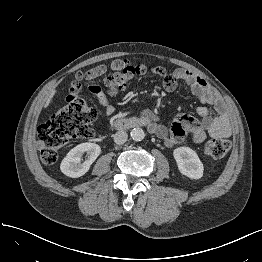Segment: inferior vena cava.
<instances>
[{
	"mask_svg": "<svg viewBox=\"0 0 262 262\" xmlns=\"http://www.w3.org/2000/svg\"><path fill=\"white\" fill-rule=\"evenodd\" d=\"M128 135L124 131H118L114 135V142L118 145L124 144L127 141Z\"/></svg>",
	"mask_w": 262,
	"mask_h": 262,
	"instance_id": "602c4592",
	"label": "inferior vena cava"
}]
</instances>
